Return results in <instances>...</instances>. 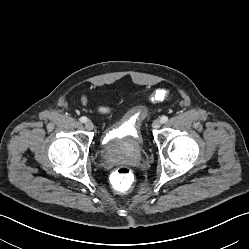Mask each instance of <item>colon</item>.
<instances>
[{
	"instance_id": "5ec220e1",
	"label": "colon",
	"mask_w": 249,
	"mask_h": 249,
	"mask_svg": "<svg viewBox=\"0 0 249 249\" xmlns=\"http://www.w3.org/2000/svg\"><path fill=\"white\" fill-rule=\"evenodd\" d=\"M168 96V90L164 87L157 88L150 96V101L153 103L161 102ZM134 182L133 171L127 166L117 168L111 178V183L114 189L118 192L127 191Z\"/></svg>"
}]
</instances>
